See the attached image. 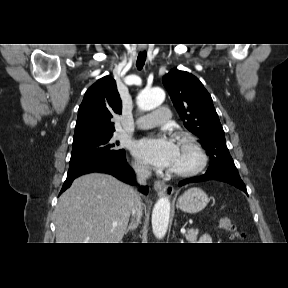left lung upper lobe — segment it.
<instances>
[{
	"instance_id": "5c2ea615",
	"label": "left lung upper lobe",
	"mask_w": 288,
	"mask_h": 288,
	"mask_svg": "<svg viewBox=\"0 0 288 288\" xmlns=\"http://www.w3.org/2000/svg\"><path fill=\"white\" fill-rule=\"evenodd\" d=\"M162 81L184 126L201 139L200 143L210 157L206 174L240 177L226 146L212 98L201 81L178 69L171 70Z\"/></svg>"
}]
</instances>
